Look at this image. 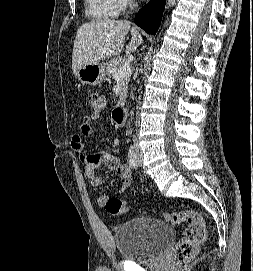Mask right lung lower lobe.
Listing matches in <instances>:
<instances>
[{
  "label": "right lung lower lobe",
  "instance_id": "obj_1",
  "mask_svg": "<svg viewBox=\"0 0 253 271\" xmlns=\"http://www.w3.org/2000/svg\"><path fill=\"white\" fill-rule=\"evenodd\" d=\"M166 0H150L135 17V23L150 34H155L160 26Z\"/></svg>",
  "mask_w": 253,
  "mask_h": 271
}]
</instances>
